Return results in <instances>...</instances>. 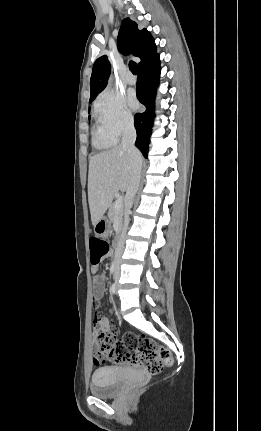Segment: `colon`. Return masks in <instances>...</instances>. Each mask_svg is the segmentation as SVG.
I'll return each instance as SVG.
<instances>
[{"mask_svg":"<svg viewBox=\"0 0 261 431\" xmlns=\"http://www.w3.org/2000/svg\"><path fill=\"white\" fill-rule=\"evenodd\" d=\"M90 260L97 266L107 256L109 244L103 239H90ZM98 354L116 364H126L142 369L149 374H158L173 362L171 352L145 336L133 332L125 333L117 339L113 333H99ZM103 359V360H104Z\"/></svg>","mask_w":261,"mask_h":431,"instance_id":"1","label":"colon"}]
</instances>
